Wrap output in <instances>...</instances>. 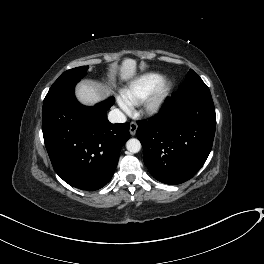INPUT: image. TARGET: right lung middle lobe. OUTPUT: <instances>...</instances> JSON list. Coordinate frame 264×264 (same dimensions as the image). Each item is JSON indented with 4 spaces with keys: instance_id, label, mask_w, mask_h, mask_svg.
<instances>
[{
    "instance_id": "dd1d6c3e",
    "label": "right lung middle lobe",
    "mask_w": 264,
    "mask_h": 264,
    "mask_svg": "<svg viewBox=\"0 0 264 264\" xmlns=\"http://www.w3.org/2000/svg\"><path fill=\"white\" fill-rule=\"evenodd\" d=\"M88 66H81L65 71L51 86L44 102L53 99L61 93L74 88L75 84L86 75Z\"/></svg>"
}]
</instances>
